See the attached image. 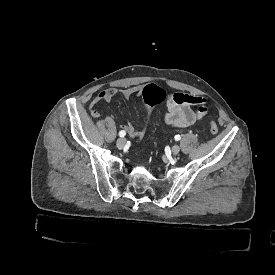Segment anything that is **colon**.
Returning a JSON list of instances; mask_svg holds the SVG:
<instances>
[{"mask_svg": "<svg viewBox=\"0 0 275 275\" xmlns=\"http://www.w3.org/2000/svg\"><path fill=\"white\" fill-rule=\"evenodd\" d=\"M141 95L142 97L146 98V102L144 103V124L141 126V129L139 131H136L132 135H129L132 140H136V143H139L146 136V133L144 132V127L147 123V119H149L148 110L152 109L154 107V104L162 103V101L166 98L165 92H163L159 87L152 84L147 85V87L142 90ZM209 128L211 134L215 135L218 133L219 129L215 121H210Z\"/></svg>", "mask_w": 275, "mask_h": 275, "instance_id": "5ec220e1", "label": "colon"}]
</instances>
